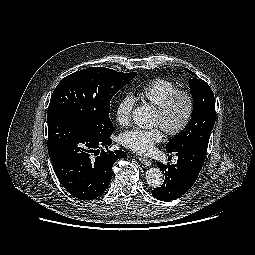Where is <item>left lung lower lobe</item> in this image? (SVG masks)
<instances>
[{
    "label": "left lung lower lobe",
    "mask_w": 255,
    "mask_h": 255,
    "mask_svg": "<svg viewBox=\"0 0 255 255\" xmlns=\"http://www.w3.org/2000/svg\"><path fill=\"white\" fill-rule=\"evenodd\" d=\"M206 150L197 147L176 152V165L157 166L165 172V181L161 187L152 190V195L162 201L175 200L185 194L195 183L206 158Z\"/></svg>",
    "instance_id": "left-lung-lower-lobe-1"
}]
</instances>
